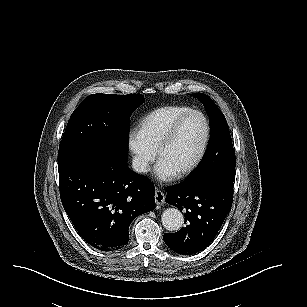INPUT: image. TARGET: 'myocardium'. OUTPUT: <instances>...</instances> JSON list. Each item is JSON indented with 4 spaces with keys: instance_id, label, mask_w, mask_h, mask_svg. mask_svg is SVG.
Instances as JSON below:
<instances>
[{
    "instance_id": "1",
    "label": "myocardium",
    "mask_w": 307,
    "mask_h": 307,
    "mask_svg": "<svg viewBox=\"0 0 307 307\" xmlns=\"http://www.w3.org/2000/svg\"><path fill=\"white\" fill-rule=\"evenodd\" d=\"M191 116H195L198 118V120L200 121L201 124V129H202V139H201V143L199 146V149L195 155V157L193 158V160L191 161L190 164H185L182 168H175V172H183V173H188L196 164L197 162L200 160V158L202 157L204 151H205V147H206V142H207V121L205 119V115L203 113H201L200 111H193L191 109L185 111L184 113H182V115L179 117V119L175 120V125L172 126L169 131L165 134L164 138L161 139V146L158 150V160L161 156L165 155V147L170 145V141H172L173 137L177 135V133L182 130L184 123L187 122V120L191 117Z\"/></svg>"
}]
</instances>
